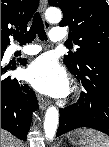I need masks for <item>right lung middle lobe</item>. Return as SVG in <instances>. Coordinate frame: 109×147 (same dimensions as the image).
<instances>
[{"mask_svg":"<svg viewBox=\"0 0 109 147\" xmlns=\"http://www.w3.org/2000/svg\"><path fill=\"white\" fill-rule=\"evenodd\" d=\"M4 50H5V49H1V54H3Z\"/></svg>","mask_w":109,"mask_h":147,"instance_id":"1","label":"right lung middle lobe"}]
</instances>
